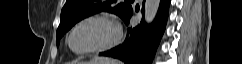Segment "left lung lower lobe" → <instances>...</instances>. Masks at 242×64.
I'll return each mask as SVG.
<instances>
[{
	"mask_svg": "<svg viewBox=\"0 0 242 64\" xmlns=\"http://www.w3.org/2000/svg\"><path fill=\"white\" fill-rule=\"evenodd\" d=\"M170 0H161L155 21L128 29L127 37L123 44L100 53L102 56L113 57L123 61L125 64H151L165 31L168 18ZM144 13V10L142 11ZM132 11L123 19L128 25Z\"/></svg>",
	"mask_w": 242,
	"mask_h": 64,
	"instance_id": "obj_1",
	"label": "left lung lower lobe"
}]
</instances>
